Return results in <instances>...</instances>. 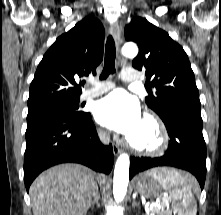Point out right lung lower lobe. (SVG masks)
<instances>
[{"mask_svg": "<svg viewBox=\"0 0 221 215\" xmlns=\"http://www.w3.org/2000/svg\"><path fill=\"white\" fill-rule=\"evenodd\" d=\"M25 135L24 182L27 191L39 173L60 163H81L106 174L112 169V145L104 146L100 142L90 113L42 117L27 125Z\"/></svg>", "mask_w": 221, "mask_h": 215, "instance_id": "98d812e1", "label": "right lung lower lobe"}]
</instances>
